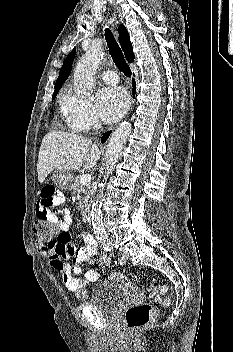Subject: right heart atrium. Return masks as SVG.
<instances>
[{
  "label": "right heart atrium",
  "instance_id": "d8ad5b80",
  "mask_svg": "<svg viewBox=\"0 0 233 352\" xmlns=\"http://www.w3.org/2000/svg\"><path fill=\"white\" fill-rule=\"evenodd\" d=\"M61 109L74 132H86L100 123L91 99L79 96L71 90L63 94Z\"/></svg>",
  "mask_w": 233,
  "mask_h": 352
}]
</instances>
